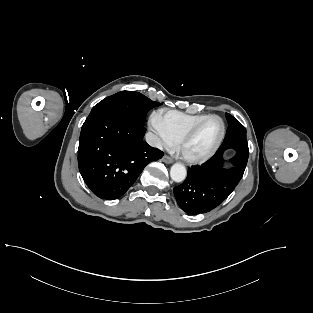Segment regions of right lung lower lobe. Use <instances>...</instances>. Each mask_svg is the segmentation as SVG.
<instances>
[{"label":"right lung lower lobe","instance_id":"1","mask_svg":"<svg viewBox=\"0 0 313 313\" xmlns=\"http://www.w3.org/2000/svg\"><path fill=\"white\" fill-rule=\"evenodd\" d=\"M146 129L124 115L102 112L87 118L80 134L78 165L84 182L99 198L115 200L144 167L163 152L143 141Z\"/></svg>","mask_w":313,"mask_h":313}]
</instances>
